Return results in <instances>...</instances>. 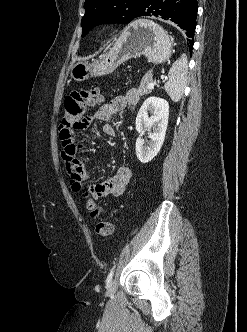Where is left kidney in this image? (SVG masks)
Wrapping results in <instances>:
<instances>
[{"mask_svg": "<svg viewBox=\"0 0 247 332\" xmlns=\"http://www.w3.org/2000/svg\"><path fill=\"white\" fill-rule=\"evenodd\" d=\"M152 112L151 117L148 112ZM169 116V104L166 100L159 97H149L141 106L136 117V130L139 137L136 140V155L140 162H150L160 151L167 130ZM152 129L148 133L150 142L144 145L141 136L146 130Z\"/></svg>", "mask_w": 247, "mask_h": 332, "instance_id": "5707ae66", "label": "left kidney"}]
</instances>
